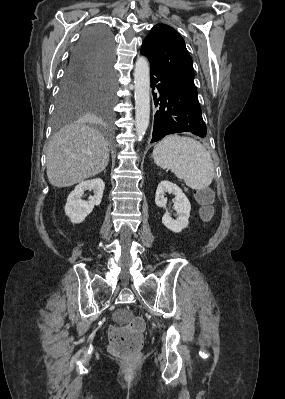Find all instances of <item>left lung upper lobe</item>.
Masks as SVG:
<instances>
[{
	"instance_id": "5c2ea615",
	"label": "left lung upper lobe",
	"mask_w": 285,
	"mask_h": 399,
	"mask_svg": "<svg viewBox=\"0 0 285 399\" xmlns=\"http://www.w3.org/2000/svg\"><path fill=\"white\" fill-rule=\"evenodd\" d=\"M141 53L199 103L192 59L178 32L166 24L155 25L144 39Z\"/></svg>"
}]
</instances>
